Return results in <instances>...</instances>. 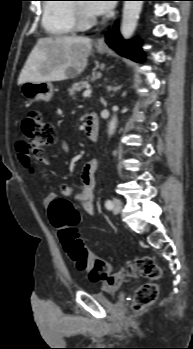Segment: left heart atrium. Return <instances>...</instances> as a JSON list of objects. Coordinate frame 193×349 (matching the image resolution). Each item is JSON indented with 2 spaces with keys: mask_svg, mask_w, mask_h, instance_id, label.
<instances>
[{
  "mask_svg": "<svg viewBox=\"0 0 193 349\" xmlns=\"http://www.w3.org/2000/svg\"><path fill=\"white\" fill-rule=\"evenodd\" d=\"M113 7L110 1H91L87 3V9L91 14L102 15L109 12Z\"/></svg>",
  "mask_w": 193,
  "mask_h": 349,
  "instance_id": "left-heart-atrium-1",
  "label": "left heart atrium"
}]
</instances>
